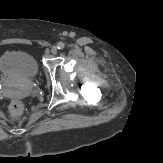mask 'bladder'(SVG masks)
I'll list each match as a JSON object with an SVG mask.
<instances>
[{
  "instance_id": "31cf9c89",
  "label": "bladder",
  "mask_w": 163,
  "mask_h": 163,
  "mask_svg": "<svg viewBox=\"0 0 163 163\" xmlns=\"http://www.w3.org/2000/svg\"><path fill=\"white\" fill-rule=\"evenodd\" d=\"M36 58L25 51L11 50L0 57V74L5 77L32 80L39 74Z\"/></svg>"
}]
</instances>
